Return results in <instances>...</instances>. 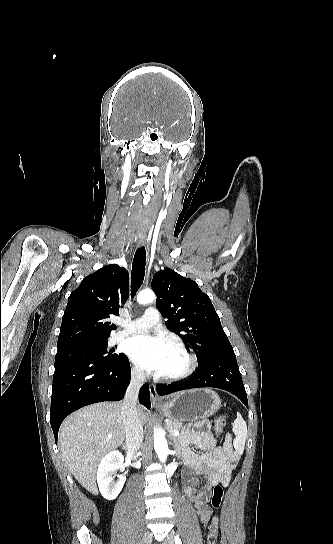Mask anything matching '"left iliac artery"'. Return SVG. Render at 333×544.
<instances>
[{
	"label": "left iliac artery",
	"mask_w": 333,
	"mask_h": 544,
	"mask_svg": "<svg viewBox=\"0 0 333 544\" xmlns=\"http://www.w3.org/2000/svg\"><path fill=\"white\" fill-rule=\"evenodd\" d=\"M175 544H182L178 535L175 536Z\"/></svg>",
	"instance_id": "1"
}]
</instances>
